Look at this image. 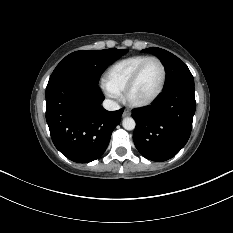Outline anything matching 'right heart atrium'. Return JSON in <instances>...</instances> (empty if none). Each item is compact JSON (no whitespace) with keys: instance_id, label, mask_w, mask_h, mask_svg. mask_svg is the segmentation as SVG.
Here are the masks:
<instances>
[{"instance_id":"right-heart-atrium-1","label":"right heart atrium","mask_w":233,"mask_h":233,"mask_svg":"<svg viewBox=\"0 0 233 233\" xmlns=\"http://www.w3.org/2000/svg\"><path fill=\"white\" fill-rule=\"evenodd\" d=\"M102 89L106 96L113 100H120L121 99V93L110 87L107 83L103 82L102 83Z\"/></svg>"}]
</instances>
